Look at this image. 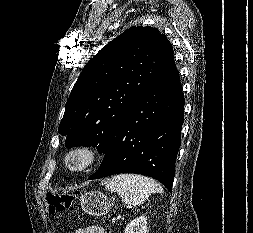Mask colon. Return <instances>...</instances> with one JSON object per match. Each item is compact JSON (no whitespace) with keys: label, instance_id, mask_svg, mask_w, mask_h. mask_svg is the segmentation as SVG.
I'll return each instance as SVG.
<instances>
[{"label":"colon","instance_id":"obj_1","mask_svg":"<svg viewBox=\"0 0 253 233\" xmlns=\"http://www.w3.org/2000/svg\"><path fill=\"white\" fill-rule=\"evenodd\" d=\"M76 200V195L73 193H49L47 195L48 208L51 214L63 213L69 210Z\"/></svg>","mask_w":253,"mask_h":233}]
</instances>
